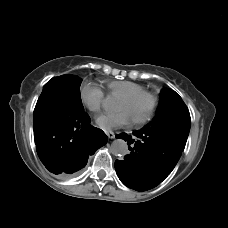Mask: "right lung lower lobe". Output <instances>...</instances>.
<instances>
[{
  "label": "right lung lower lobe",
  "instance_id": "obj_1",
  "mask_svg": "<svg viewBox=\"0 0 228 228\" xmlns=\"http://www.w3.org/2000/svg\"><path fill=\"white\" fill-rule=\"evenodd\" d=\"M34 137L37 153L54 173L83 168L88 154L106 144L107 136L90 125L83 106L59 104L55 97L41 101L34 110Z\"/></svg>",
  "mask_w": 228,
  "mask_h": 228
}]
</instances>
